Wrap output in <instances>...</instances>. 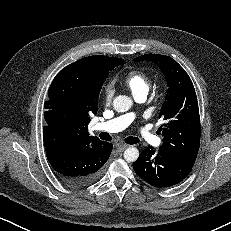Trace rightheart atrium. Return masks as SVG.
Masks as SVG:
<instances>
[{"mask_svg": "<svg viewBox=\"0 0 231 231\" xmlns=\"http://www.w3.org/2000/svg\"><path fill=\"white\" fill-rule=\"evenodd\" d=\"M114 95V86L111 83H107L103 88V98L106 102L111 101Z\"/></svg>", "mask_w": 231, "mask_h": 231, "instance_id": "obj_1", "label": "right heart atrium"}]
</instances>
